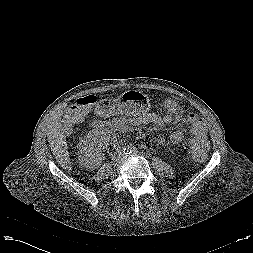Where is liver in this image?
Masks as SVG:
<instances>
[{
	"mask_svg": "<svg viewBox=\"0 0 253 253\" xmlns=\"http://www.w3.org/2000/svg\"><path fill=\"white\" fill-rule=\"evenodd\" d=\"M62 108H59L52 115L47 125V136L53 155L59 165L65 169L71 170V162L66 142V136L61 124Z\"/></svg>",
	"mask_w": 253,
	"mask_h": 253,
	"instance_id": "6515ba94",
	"label": "liver"
}]
</instances>
